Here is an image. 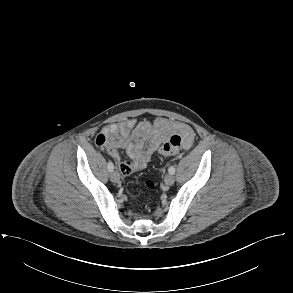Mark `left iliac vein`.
Returning <instances> with one entry per match:
<instances>
[{
  "instance_id": "obj_1",
  "label": "left iliac vein",
  "mask_w": 293,
  "mask_h": 293,
  "mask_svg": "<svg viewBox=\"0 0 293 293\" xmlns=\"http://www.w3.org/2000/svg\"><path fill=\"white\" fill-rule=\"evenodd\" d=\"M164 182L166 185H173V183L175 182V178L172 174H168L165 176Z\"/></svg>"
}]
</instances>
